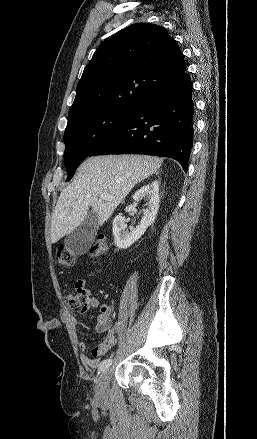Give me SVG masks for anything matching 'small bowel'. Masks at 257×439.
<instances>
[{
  "instance_id": "small-bowel-1",
  "label": "small bowel",
  "mask_w": 257,
  "mask_h": 439,
  "mask_svg": "<svg viewBox=\"0 0 257 439\" xmlns=\"http://www.w3.org/2000/svg\"><path fill=\"white\" fill-rule=\"evenodd\" d=\"M75 286H80L84 288V282L82 280H78ZM86 293L87 298L85 300L82 312L85 313L90 309H99V314L96 318L94 330L97 333H105L103 341L94 346L90 354H87V345L85 342L80 341L78 343V348L81 351V362L87 370L91 371L100 365L101 356L109 352L116 345L118 340L116 337L117 327L115 324H113L111 319V314L113 311L112 305L109 303L101 304L96 297L90 295L88 290H86ZM69 318L74 325L77 324V320L75 319V317L69 316Z\"/></svg>"
}]
</instances>
